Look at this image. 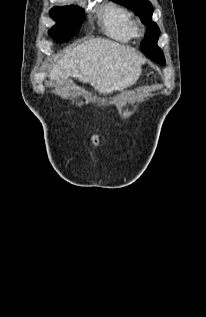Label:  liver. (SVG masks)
<instances>
[{
	"mask_svg": "<svg viewBox=\"0 0 206 317\" xmlns=\"http://www.w3.org/2000/svg\"><path fill=\"white\" fill-rule=\"evenodd\" d=\"M144 62L141 55L127 46L95 38L67 50L52 67L49 78L58 81L71 76L107 94L132 86Z\"/></svg>",
	"mask_w": 206,
	"mask_h": 317,
	"instance_id": "obj_1",
	"label": "liver"
}]
</instances>
